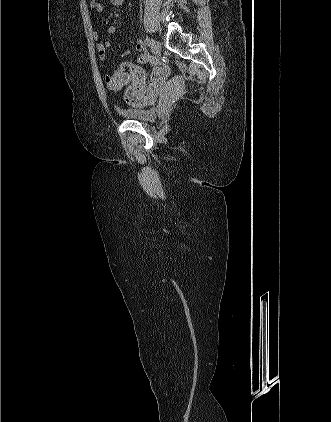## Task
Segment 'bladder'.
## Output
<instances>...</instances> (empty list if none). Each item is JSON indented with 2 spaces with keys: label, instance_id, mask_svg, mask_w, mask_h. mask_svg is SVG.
Here are the masks:
<instances>
[{
  "label": "bladder",
  "instance_id": "bladder-1",
  "mask_svg": "<svg viewBox=\"0 0 331 422\" xmlns=\"http://www.w3.org/2000/svg\"><path fill=\"white\" fill-rule=\"evenodd\" d=\"M158 113V108L156 106L150 108H127L122 109L121 114L128 119L148 122L153 120Z\"/></svg>",
  "mask_w": 331,
  "mask_h": 422
}]
</instances>
